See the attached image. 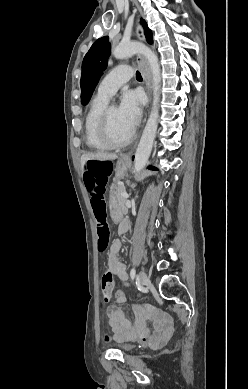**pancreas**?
Instances as JSON below:
<instances>
[{"label":"pancreas","instance_id":"1","mask_svg":"<svg viewBox=\"0 0 248 389\" xmlns=\"http://www.w3.org/2000/svg\"><path fill=\"white\" fill-rule=\"evenodd\" d=\"M112 189L114 191V194L116 196V199L118 201V204L120 206V208L122 209V211L124 213L127 212V208L125 206V201H126V198L124 196H122V193L125 192V187L123 184H112Z\"/></svg>","mask_w":248,"mask_h":389}]
</instances>
